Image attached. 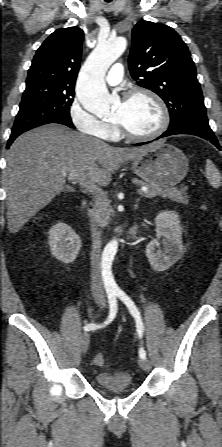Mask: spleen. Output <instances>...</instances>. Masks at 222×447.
<instances>
[{"mask_svg":"<svg viewBox=\"0 0 222 447\" xmlns=\"http://www.w3.org/2000/svg\"><path fill=\"white\" fill-rule=\"evenodd\" d=\"M206 175L210 185L213 188H218L220 186V174L215 165L209 159L206 160Z\"/></svg>","mask_w":222,"mask_h":447,"instance_id":"spleen-1","label":"spleen"}]
</instances>
